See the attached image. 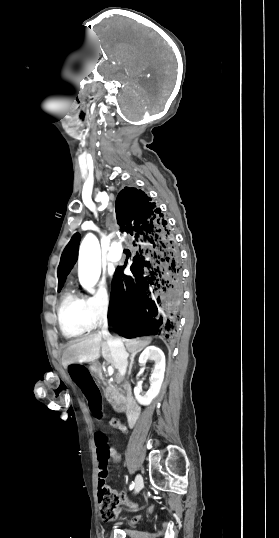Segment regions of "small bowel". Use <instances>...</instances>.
Here are the masks:
<instances>
[{
    "label": "small bowel",
    "mask_w": 279,
    "mask_h": 538,
    "mask_svg": "<svg viewBox=\"0 0 279 538\" xmlns=\"http://www.w3.org/2000/svg\"><path fill=\"white\" fill-rule=\"evenodd\" d=\"M111 458L113 459L114 462H119L120 459H121V456L119 454V452H117L116 450L114 449H111ZM121 502L125 505H127L129 508H131L132 510H137L139 505L137 503H134V502H130L128 497L126 495H122L121 496ZM153 507L150 509V512L152 511ZM140 519V516H137V517H134L132 519V524L136 523L138 520Z\"/></svg>",
    "instance_id": "1"
}]
</instances>
